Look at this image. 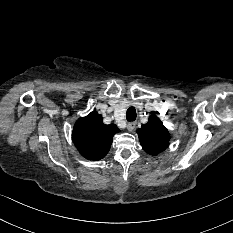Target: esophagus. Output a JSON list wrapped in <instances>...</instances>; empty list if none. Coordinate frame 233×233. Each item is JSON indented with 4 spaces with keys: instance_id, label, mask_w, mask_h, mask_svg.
Here are the masks:
<instances>
[{
    "instance_id": "1",
    "label": "esophagus",
    "mask_w": 233,
    "mask_h": 233,
    "mask_svg": "<svg viewBox=\"0 0 233 233\" xmlns=\"http://www.w3.org/2000/svg\"><path fill=\"white\" fill-rule=\"evenodd\" d=\"M135 127H136V122H130L127 124V129L130 132L133 131L135 129Z\"/></svg>"
}]
</instances>
